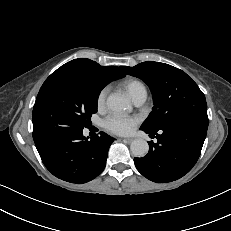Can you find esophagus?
Wrapping results in <instances>:
<instances>
[{
	"label": "esophagus",
	"mask_w": 231,
	"mask_h": 231,
	"mask_svg": "<svg viewBox=\"0 0 231 231\" xmlns=\"http://www.w3.org/2000/svg\"><path fill=\"white\" fill-rule=\"evenodd\" d=\"M122 140L130 143L133 141V138H123Z\"/></svg>",
	"instance_id": "obj_1"
}]
</instances>
